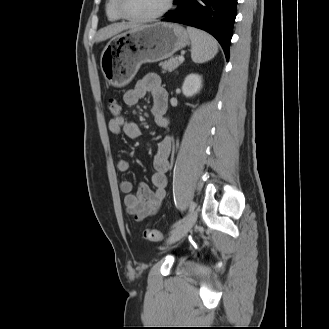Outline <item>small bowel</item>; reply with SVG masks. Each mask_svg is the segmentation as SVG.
<instances>
[{
	"label": "small bowel",
	"instance_id": "small-bowel-1",
	"mask_svg": "<svg viewBox=\"0 0 329 329\" xmlns=\"http://www.w3.org/2000/svg\"><path fill=\"white\" fill-rule=\"evenodd\" d=\"M148 94L152 98L151 114L155 123L159 126H167L168 93L162 87L161 80L157 74H147L134 88L124 93L123 101L128 106H135ZM108 129L114 135L124 134L130 139H139L142 135L141 128L136 122L126 119L121 115L112 117L109 120ZM171 149L172 140L170 137H165L158 144L153 160L155 173L151 178L154 190L141 184L138 186L137 191L133 192L132 181L124 179L121 182L120 187L124 193V204L127 212L138 221L153 215L165 197L167 185L166 172L169 169ZM116 168L119 172L126 173L130 168V163L127 159L121 158L118 160Z\"/></svg>",
	"mask_w": 329,
	"mask_h": 329
}]
</instances>
